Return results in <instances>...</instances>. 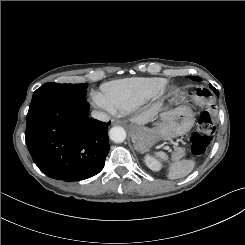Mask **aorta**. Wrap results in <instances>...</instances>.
<instances>
[{
    "label": "aorta",
    "instance_id": "obj_1",
    "mask_svg": "<svg viewBox=\"0 0 245 245\" xmlns=\"http://www.w3.org/2000/svg\"><path fill=\"white\" fill-rule=\"evenodd\" d=\"M109 137L114 142H123L126 139V131L120 126L112 127L109 131Z\"/></svg>",
    "mask_w": 245,
    "mask_h": 245
}]
</instances>
